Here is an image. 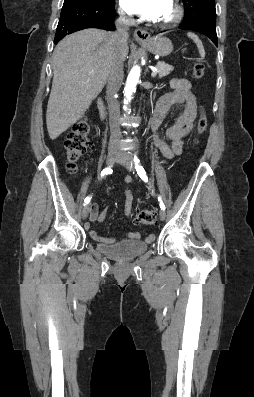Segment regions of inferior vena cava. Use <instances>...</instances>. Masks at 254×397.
Returning a JSON list of instances; mask_svg holds the SVG:
<instances>
[{
  "label": "inferior vena cava",
  "instance_id": "602c4592",
  "mask_svg": "<svg viewBox=\"0 0 254 397\" xmlns=\"http://www.w3.org/2000/svg\"><path fill=\"white\" fill-rule=\"evenodd\" d=\"M133 24V19H128L124 14H121L116 21L117 31L112 35L113 51L109 66L108 85L106 92L110 123L109 148H119L121 140V129L119 123L120 106L116 99V93L121 87L124 76L123 61L120 50L121 47L127 43L128 30Z\"/></svg>",
  "mask_w": 254,
  "mask_h": 397
}]
</instances>
